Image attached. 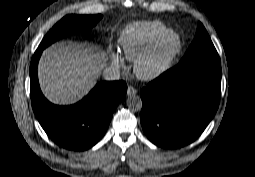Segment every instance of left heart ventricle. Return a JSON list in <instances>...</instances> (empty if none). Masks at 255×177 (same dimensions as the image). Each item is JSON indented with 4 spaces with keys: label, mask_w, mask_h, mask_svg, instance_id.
Returning <instances> with one entry per match:
<instances>
[{
    "label": "left heart ventricle",
    "mask_w": 255,
    "mask_h": 177,
    "mask_svg": "<svg viewBox=\"0 0 255 177\" xmlns=\"http://www.w3.org/2000/svg\"><path fill=\"white\" fill-rule=\"evenodd\" d=\"M176 40L174 37L168 38L164 41L159 48L152 54V56L143 65L144 70H151L155 68L167 54L174 48Z\"/></svg>",
    "instance_id": "obj_1"
}]
</instances>
